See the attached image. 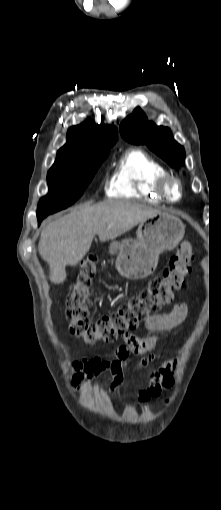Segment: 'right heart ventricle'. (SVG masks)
I'll return each instance as SVG.
<instances>
[{"label": "right heart ventricle", "mask_w": 221, "mask_h": 510, "mask_svg": "<svg viewBox=\"0 0 221 510\" xmlns=\"http://www.w3.org/2000/svg\"><path fill=\"white\" fill-rule=\"evenodd\" d=\"M165 174V167L151 155L141 149H130L119 159L110 178L107 195L160 203L162 198L157 194L155 185Z\"/></svg>", "instance_id": "e07e8e85"}]
</instances>
